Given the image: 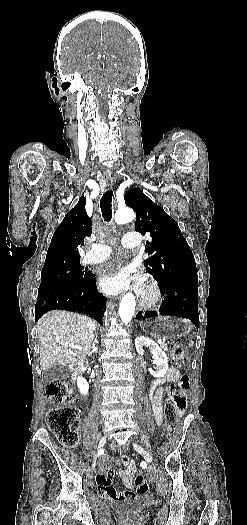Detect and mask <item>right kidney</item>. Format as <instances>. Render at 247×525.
Masks as SVG:
<instances>
[{
	"label": "right kidney",
	"instance_id": "1",
	"mask_svg": "<svg viewBox=\"0 0 247 525\" xmlns=\"http://www.w3.org/2000/svg\"><path fill=\"white\" fill-rule=\"evenodd\" d=\"M76 385L81 393V395H88L89 383H87L84 377H77Z\"/></svg>",
	"mask_w": 247,
	"mask_h": 525
}]
</instances>
